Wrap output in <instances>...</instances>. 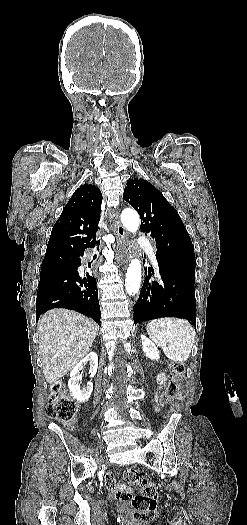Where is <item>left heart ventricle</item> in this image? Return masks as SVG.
<instances>
[{"label": "left heart ventricle", "instance_id": "left-heart-ventricle-1", "mask_svg": "<svg viewBox=\"0 0 247 525\" xmlns=\"http://www.w3.org/2000/svg\"><path fill=\"white\" fill-rule=\"evenodd\" d=\"M139 264H131V267H135L137 268ZM121 324H124V323H121Z\"/></svg>", "mask_w": 247, "mask_h": 525}]
</instances>
